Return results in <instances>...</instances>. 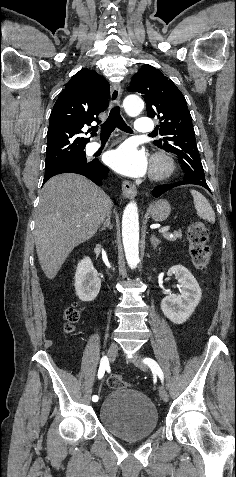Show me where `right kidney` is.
Instances as JSON below:
<instances>
[{"label":"right kidney","instance_id":"obj_1","mask_svg":"<svg viewBox=\"0 0 236 477\" xmlns=\"http://www.w3.org/2000/svg\"><path fill=\"white\" fill-rule=\"evenodd\" d=\"M74 285L76 294L82 301H92L97 297L101 280L89 257H85L78 263Z\"/></svg>","mask_w":236,"mask_h":477}]
</instances>
